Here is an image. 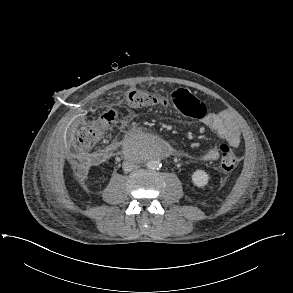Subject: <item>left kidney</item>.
Masks as SVG:
<instances>
[{"mask_svg": "<svg viewBox=\"0 0 293 293\" xmlns=\"http://www.w3.org/2000/svg\"><path fill=\"white\" fill-rule=\"evenodd\" d=\"M192 182L197 187H204L208 184L209 175L204 170H196L192 176Z\"/></svg>", "mask_w": 293, "mask_h": 293, "instance_id": "obj_1", "label": "left kidney"}]
</instances>
